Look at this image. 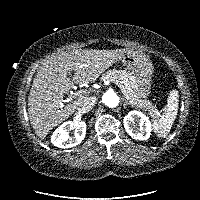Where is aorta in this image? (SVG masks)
I'll list each match as a JSON object with an SVG mask.
<instances>
[{
	"label": "aorta",
	"instance_id": "1",
	"mask_svg": "<svg viewBox=\"0 0 200 200\" xmlns=\"http://www.w3.org/2000/svg\"><path fill=\"white\" fill-rule=\"evenodd\" d=\"M102 104L109 108H115L119 104V97L114 91H108L103 94L101 99Z\"/></svg>",
	"mask_w": 200,
	"mask_h": 200
}]
</instances>
